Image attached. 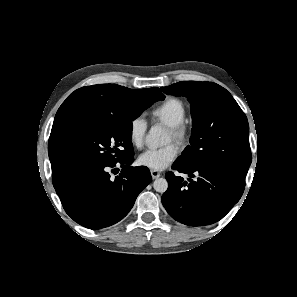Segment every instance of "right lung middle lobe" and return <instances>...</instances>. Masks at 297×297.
<instances>
[{"label":"right lung middle lobe","instance_id":"obj_1","mask_svg":"<svg viewBox=\"0 0 297 297\" xmlns=\"http://www.w3.org/2000/svg\"><path fill=\"white\" fill-rule=\"evenodd\" d=\"M157 100L163 98L142 90L117 111L84 114L62 126L54 145L59 170L132 156V121Z\"/></svg>","mask_w":297,"mask_h":297}]
</instances>
